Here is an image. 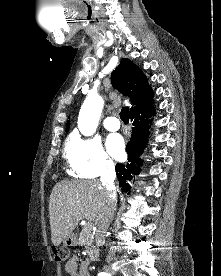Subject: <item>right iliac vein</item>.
<instances>
[{
  "mask_svg": "<svg viewBox=\"0 0 221 276\" xmlns=\"http://www.w3.org/2000/svg\"><path fill=\"white\" fill-rule=\"evenodd\" d=\"M106 271H108L109 269L108 268H104Z\"/></svg>",
  "mask_w": 221,
  "mask_h": 276,
  "instance_id": "63e3f726",
  "label": "right iliac vein"
}]
</instances>
